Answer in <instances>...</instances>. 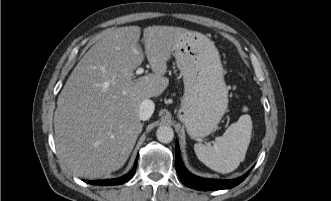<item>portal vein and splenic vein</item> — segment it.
Here are the masks:
<instances>
[{"label": "portal vein and splenic vein", "mask_w": 331, "mask_h": 201, "mask_svg": "<svg viewBox=\"0 0 331 201\" xmlns=\"http://www.w3.org/2000/svg\"><path fill=\"white\" fill-rule=\"evenodd\" d=\"M144 72V69L143 68H138L137 70H136V74L137 75H140V74H142Z\"/></svg>", "instance_id": "1"}]
</instances>
